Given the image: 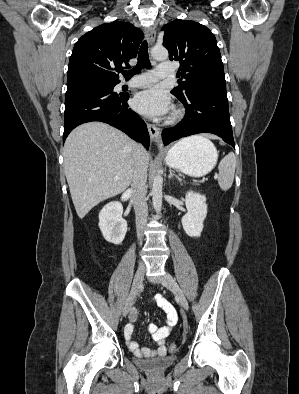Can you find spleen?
<instances>
[{
	"mask_svg": "<svg viewBox=\"0 0 299 394\" xmlns=\"http://www.w3.org/2000/svg\"><path fill=\"white\" fill-rule=\"evenodd\" d=\"M199 141L211 143V141L202 136H195ZM236 167V157L234 153H228L219 163V177L218 184L223 191H227L231 188L234 180Z\"/></svg>",
	"mask_w": 299,
	"mask_h": 394,
	"instance_id": "obj_1",
	"label": "spleen"
}]
</instances>
